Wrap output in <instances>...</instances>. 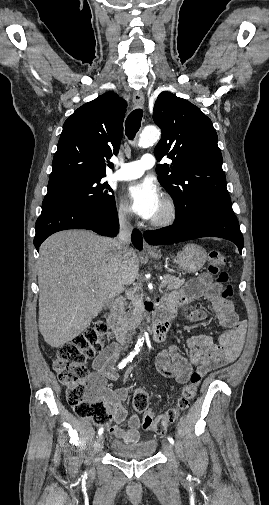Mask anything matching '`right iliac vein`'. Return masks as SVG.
Segmentation results:
<instances>
[{
    "label": "right iliac vein",
    "mask_w": 269,
    "mask_h": 505,
    "mask_svg": "<svg viewBox=\"0 0 269 505\" xmlns=\"http://www.w3.org/2000/svg\"><path fill=\"white\" fill-rule=\"evenodd\" d=\"M103 444H104V436L100 435L95 445V452L100 451L103 447Z\"/></svg>",
    "instance_id": "1"
}]
</instances>
